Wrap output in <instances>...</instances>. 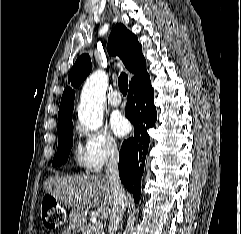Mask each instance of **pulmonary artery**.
Segmentation results:
<instances>
[{
    "instance_id": "pulmonary-artery-1",
    "label": "pulmonary artery",
    "mask_w": 241,
    "mask_h": 234,
    "mask_svg": "<svg viewBox=\"0 0 241 234\" xmlns=\"http://www.w3.org/2000/svg\"><path fill=\"white\" fill-rule=\"evenodd\" d=\"M108 102L111 106H114V107L119 106L122 102L121 95L117 91H114L109 96Z\"/></svg>"
}]
</instances>
